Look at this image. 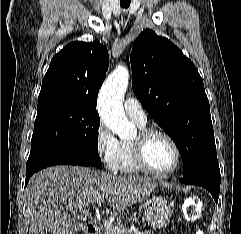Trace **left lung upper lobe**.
I'll return each instance as SVG.
<instances>
[{
	"label": "left lung upper lobe",
	"mask_w": 241,
	"mask_h": 234,
	"mask_svg": "<svg viewBox=\"0 0 241 234\" xmlns=\"http://www.w3.org/2000/svg\"><path fill=\"white\" fill-rule=\"evenodd\" d=\"M130 62L133 90L177 145L183 177L221 178L209 101L191 60L167 38L147 29L136 39Z\"/></svg>",
	"instance_id": "5c2ea615"
}]
</instances>
